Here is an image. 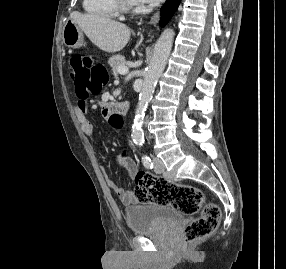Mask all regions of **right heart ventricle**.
<instances>
[{"label":"right heart ventricle","mask_w":286,"mask_h":269,"mask_svg":"<svg viewBox=\"0 0 286 269\" xmlns=\"http://www.w3.org/2000/svg\"><path fill=\"white\" fill-rule=\"evenodd\" d=\"M82 6L87 14L96 18L112 19L119 14L114 0H83Z\"/></svg>","instance_id":"right-heart-ventricle-1"}]
</instances>
